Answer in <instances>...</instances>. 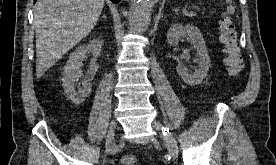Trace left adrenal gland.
<instances>
[{
	"mask_svg": "<svg viewBox=\"0 0 276 165\" xmlns=\"http://www.w3.org/2000/svg\"><path fill=\"white\" fill-rule=\"evenodd\" d=\"M174 11L176 12V14H178V9H175Z\"/></svg>",
	"mask_w": 276,
	"mask_h": 165,
	"instance_id": "1",
	"label": "left adrenal gland"
}]
</instances>
